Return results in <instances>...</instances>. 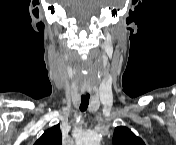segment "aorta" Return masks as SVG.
<instances>
[{"mask_svg": "<svg viewBox=\"0 0 176 145\" xmlns=\"http://www.w3.org/2000/svg\"><path fill=\"white\" fill-rule=\"evenodd\" d=\"M100 141L101 136L94 131H88L84 134L83 143L85 145H99Z\"/></svg>", "mask_w": 176, "mask_h": 145, "instance_id": "aorta-1", "label": "aorta"}]
</instances>
